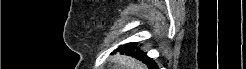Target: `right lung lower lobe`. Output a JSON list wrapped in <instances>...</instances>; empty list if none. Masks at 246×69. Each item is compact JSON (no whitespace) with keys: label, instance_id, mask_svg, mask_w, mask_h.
Segmentation results:
<instances>
[{"label":"right lung lower lobe","instance_id":"right-lung-lower-lobe-1","mask_svg":"<svg viewBox=\"0 0 246 69\" xmlns=\"http://www.w3.org/2000/svg\"><path fill=\"white\" fill-rule=\"evenodd\" d=\"M135 43H130V44H125L122 45L118 48V50L122 53H126L128 55H132L135 56L137 59L142 60L144 63H146L148 65L149 68L151 69H158L157 65L155 64V62L148 58L146 56V54H143L140 50L137 49V51H135Z\"/></svg>","mask_w":246,"mask_h":69}]
</instances>
